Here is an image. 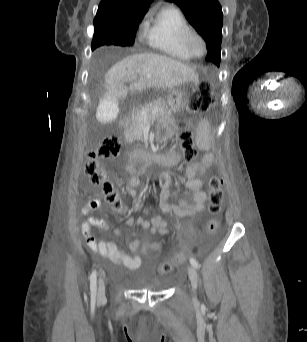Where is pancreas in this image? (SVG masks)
<instances>
[{
    "label": "pancreas",
    "mask_w": 307,
    "mask_h": 342,
    "mask_svg": "<svg viewBox=\"0 0 307 342\" xmlns=\"http://www.w3.org/2000/svg\"><path fill=\"white\" fill-rule=\"evenodd\" d=\"M166 104V100H155V102H150V104L145 106L148 116H151V112H153V110H157V112L153 114L155 119H169L171 115ZM145 126L146 122L143 112H137V114H134L132 122L134 132H138V134H141L142 136Z\"/></svg>",
    "instance_id": "cf45deb5"
}]
</instances>
